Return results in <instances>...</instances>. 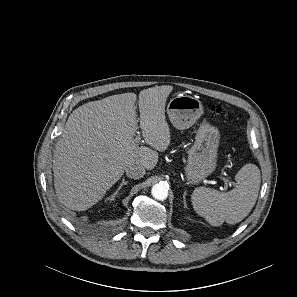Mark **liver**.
I'll return each instance as SVG.
<instances>
[{
	"label": "liver",
	"instance_id": "obj_1",
	"mask_svg": "<svg viewBox=\"0 0 297 297\" xmlns=\"http://www.w3.org/2000/svg\"><path fill=\"white\" fill-rule=\"evenodd\" d=\"M173 87L155 86L139 93L112 95L86 103L69 116L53 155L54 186L66 207L84 211L100 201L129 165L152 170L158 152L170 145L165 104ZM140 122V126L138 124ZM145 142H134L137 129Z\"/></svg>",
	"mask_w": 297,
	"mask_h": 297
}]
</instances>
